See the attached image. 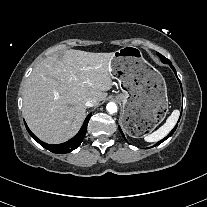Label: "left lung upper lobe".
Returning <instances> with one entry per match:
<instances>
[{
    "label": "left lung upper lobe",
    "instance_id": "1",
    "mask_svg": "<svg viewBox=\"0 0 207 207\" xmlns=\"http://www.w3.org/2000/svg\"><path fill=\"white\" fill-rule=\"evenodd\" d=\"M158 54V56L161 58V61H163V60H168V59H166L164 56H162L161 54H159V53H157Z\"/></svg>",
    "mask_w": 207,
    "mask_h": 207
}]
</instances>
